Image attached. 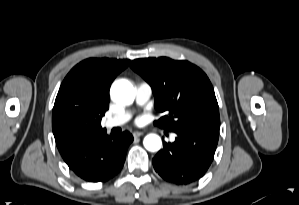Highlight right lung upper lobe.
Instances as JSON below:
<instances>
[{
  "instance_id": "right-lung-upper-lobe-1",
  "label": "right lung upper lobe",
  "mask_w": 299,
  "mask_h": 205,
  "mask_svg": "<svg viewBox=\"0 0 299 205\" xmlns=\"http://www.w3.org/2000/svg\"><path fill=\"white\" fill-rule=\"evenodd\" d=\"M130 60L89 58L77 64L57 94L52 130L64 161L86 141L106 132L101 119L109 108V89Z\"/></svg>"
}]
</instances>
